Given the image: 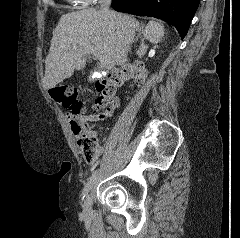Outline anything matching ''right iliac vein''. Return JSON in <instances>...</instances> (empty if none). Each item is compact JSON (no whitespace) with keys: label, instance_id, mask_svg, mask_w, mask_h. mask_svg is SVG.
I'll list each match as a JSON object with an SVG mask.
<instances>
[{"label":"right iliac vein","instance_id":"right-iliac-vein-1","mask_svg":"<svg viewBox=\"0 0 240 238\" xmlns=\"http://www.w3.org/2000/svg\"><path fill=\"white\" fill-rule=\"evenodd\" d=\"M92 199L90 195H87L83 203V212L85 215H89L92 209Z\"/></svg>","mask_w":240,"mask_h":238}]
</instances>
